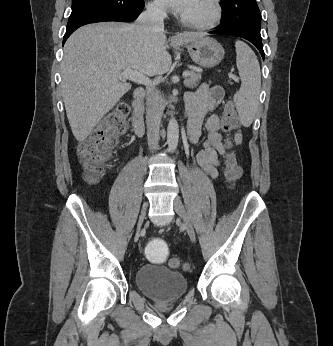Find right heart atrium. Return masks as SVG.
Instances as JSON below:
<instances>
[{"label": "right heart atrium", "mask_w": 333, "mask_h": 346, "mask_svg": "<svg viewBox=\"0 0 333 346\" xmlns=\"http://www.w3.org/2000/svg\"><path fill=\"white\" fill-rule=\"evenodd\" d=\"M148 10L155 16H162L164 14V9L159 3V0H151L148 3Z\"/></svg>", "instance_id": "obj_1"}]
</instances>
